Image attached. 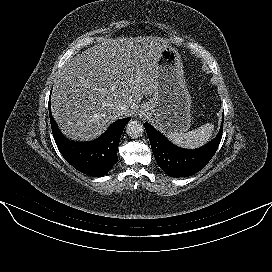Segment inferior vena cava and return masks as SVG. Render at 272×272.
<instances>
[{
	"label": "inferior vena cava",
	"mask_w": 272,
	"mask_h": 272,
	"mask_svg": "<svg viewBox=\"0 0 272 272\" xmlns=\"http://www.w3.org/2000/svg\"><path fill=\"white\" fill-rule=\"evenodd\" d=\"M127 109H128L127 105L122 104V103L116 105V107H115V110L117 111V113L119 115L124 114L127 111Z\"/></svg>",
	"instance_id": "obj_1"
}]
</instances>
